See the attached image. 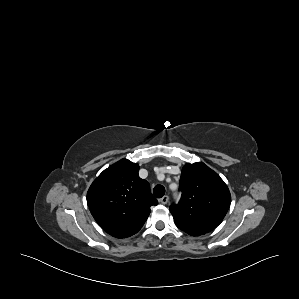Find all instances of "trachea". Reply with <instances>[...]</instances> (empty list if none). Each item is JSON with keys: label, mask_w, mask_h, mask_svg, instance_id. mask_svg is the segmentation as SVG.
I'll list each match as a JSON object with an SVG mask.
<instances>
[{"label": "trachea", "mask_w": 299, "mask_h": 299, "mask_svg": "<svg viewBox=\"0 0 299 299\" xmlns=\"http://www.w3.org/2000/svg\"><path fill=\"white\" fill-rule=\"evenodd\" d=\"M154 196L157 198H161L165 194V188L162 185H156L153 189Z\"/></svg>", "instance_id": "3493384b"}]
</instances>
